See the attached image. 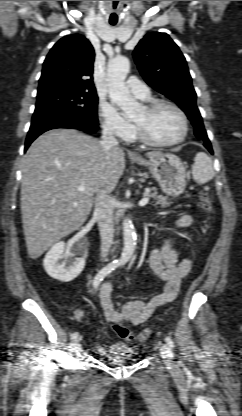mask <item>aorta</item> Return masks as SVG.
Returning <instances> with one entry per match:
<instances>
[{
  "mask_svg": "<svg viewBox=\"0 0 242 416\" xmlns=\"http://www.w3.org/2000/svg\"><path fill=\"white\" fill-rule=\"evenodd\" d=\"M130 70V62L126 57H117L108 64L107 81L109 86V97L112 103L118 105L126 114H131L137 107L125 85V79ZM136 233L130 220L123 221V251L116 260L117 264L124 265L132 257L136 248Z\"/></svg>",
  "mask_w": 242,
  "mask_h": 416,
  "instance_id": "1",
  "label": "aorta"
}]
</instances>
